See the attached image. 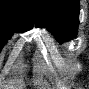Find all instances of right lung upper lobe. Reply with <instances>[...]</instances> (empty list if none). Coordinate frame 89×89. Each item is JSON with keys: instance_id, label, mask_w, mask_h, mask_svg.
I'll list each match as a JSON object with an SVG mask.
<instances>
[{"instance_id": "cb5924a9", "label": "right lung upper lobe", "mask_w": 89, "mask_h": 89, "mask_svg": "<svg viewBox=\"0 0 89 89\" xmlns=\"http://www.w3.org/2000/svg\"><path fill=\"white\" fill-rule=\"evenodd\" d=\"M0 23L14 25L24 31L33 27L32 0H0Z\"/></svg>"}]
</instances>
